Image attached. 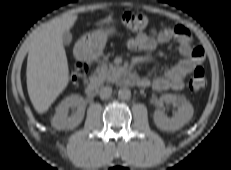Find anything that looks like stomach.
Listing matches in <instances>:
<instances>
[{
	"mask_svg": "<svg viewBox=\"0 0 231 170\" xmlns=\"http://www.w3.org/2000/svg\"><path fill=\"white\" fill-rule=\"evenodd\" d=\"M115 32V27L92 31L78 41L77 47L86 58L95 59L102 54L108 37L115 34Z\"/></svg>",
	"mask_w": 231,
	"mask_h": 170,
	"instance_id": "stomach-1",
	"label": "stomach"
}]
</instances>
